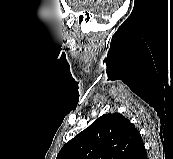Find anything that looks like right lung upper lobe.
<instances>
[{
	"instance_id": "cb5924a9",
	"label": "right lung upper lobe",
	"mask_w": 173,
	"mask_h": 159,
	"mask_svg": "<svg viewBox=\"0 0 173 159\" xmlns=\"http://www.w3.org/2000/svg\"><path fill=\"white\" fill-rule=\"evenodd\" d=\"M145 151L135 126L123 115L109 113L67 142L57 159H138Z\"/></svg>"
}]
</instances>
